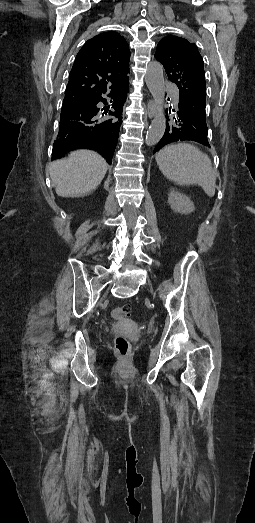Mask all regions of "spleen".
<instances>
[{
	"instance_id": "1",
	"label": "spleen",
	"mask_w": 255,
	"mask_h": 523,
	"mask_svg": "<svg viewBox=\"0 0 255 523\" xmlns=\"http://www.w3.org/2000/svg\"><path fill=\"white\" fill-rule=\"evenodd\" d=\"M157 166L163 176L179 186L199 184L205 194L212 198L215 194V176L206 154L191 144L166 146L155 156Z\"/></svg>"
}]
</instances>
